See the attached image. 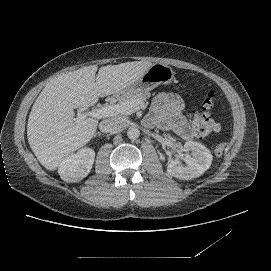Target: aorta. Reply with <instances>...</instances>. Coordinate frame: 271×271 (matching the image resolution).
<instances>
[{
  "instance_id": "1",
  "label": "aorta",
  "mask_w": 271,
  "mask_h": 271,
  "mask_svg": "<svg viewBox=\"0 0 271 271\" xmlns=\"http://www.w3.org/2000/svg\"><path fill=\"white\" fill-rule=\"evenodd\" d=\"M140 135V131L137 127L131 126L127 129V137L130 139H137Z\"/></svg>"
}]
</instances>
